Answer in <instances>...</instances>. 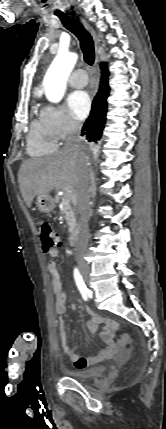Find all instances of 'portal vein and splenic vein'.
<instances>
[{"instance_id":"18ae733b","label":"portal vein and splenic vein","mask_w":166,"mask_h":429,"mask_svg":"<svg viewBox=\"0 0 166 429\" xmlns=\"http://www.w3.org/2000/svg\"><path fill=\"white\" fill-rule=\"evenodd\" d=\"M64 193L66 199H72L74 197L73 191L71 189H64Z\"/></svg>"}]
</instances>
